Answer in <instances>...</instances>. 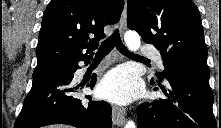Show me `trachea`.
<instances>
[{
	"mask_svg": "<svg viewBox=\"0 0 221 128\" xmlns=\"http://www.w3.org/2000/svg\"><path fill=\"white\" fill-rule=\"evenodd\" d=\"M114 47H116L117 50H119L124 55L132 56V57H136V58H142L141 56H139L137 54L131 53L123 45L118 29H116L113 32V34L101 44V46L95 56L96 57L106 56ZM142 59H144V58H142Z\"/></svg>",
	"mask_w": 221,
	"mask_h": 128,
	"instance_id": "trachea-1",
	"label": "trachea"
}]
</instances>
